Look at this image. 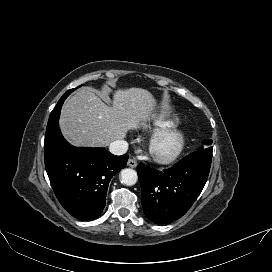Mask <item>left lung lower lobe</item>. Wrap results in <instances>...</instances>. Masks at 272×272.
<instances>
[{"instance_id": "0a47b994", "label": "left lung lower lobe", "mask_w": 272, "mask_h": 272, "mask_svg": "<svg viewBox=\"0 0 272 272\" xmlns=\"http://www.w3.org/2000/svg\"><path fill=\"white\" fill-rule=\"evenodd\" d=\"M212 151L213 147L197 150L164 171L138 165L142 206L148 219L168 224L190 209L207 181Z\"/></svg>"}]
</instances>
